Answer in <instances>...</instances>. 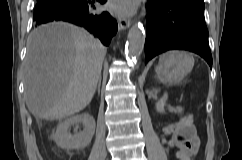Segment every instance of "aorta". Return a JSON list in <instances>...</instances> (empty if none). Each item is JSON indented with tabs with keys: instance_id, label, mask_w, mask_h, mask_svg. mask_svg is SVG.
Here are the masks:
<instances>
[{
	"instance_id": "obj_1",
	"label": "aorta",
	"mask_w": 242,
	"mask_h": 160,
	"mask_svg": "<svg viewBox=\"0 0 242 160\" xmlns=\"http://www.w3.org/2000/svg\"><path fill=\"white\" fill-rule=\"evenodd\" d=\"M145 42V30L141 23H136L128 33L126 54L129 59H136L141 54Z\"/></svg>"
}]
</instances>
